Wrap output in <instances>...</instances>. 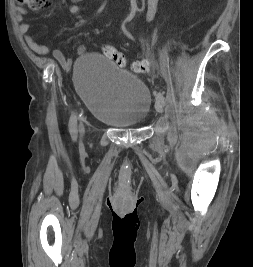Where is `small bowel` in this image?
Returning <instances> with one entry per match:
<instances>
[{
  "mask_svg": "<svg viewBox=\"0 0 253 267\" xmlns=\"http://www.w3.org/2000/svg\"><path fill=\"white\" fill-rule=\"evenodd\" d=\"M73 4L70 6L69 10L72 14H77L81 11L82 3L84 0H71ZM158 0H148L147 2V19L152 21L155 17L156 10H157ZM30 24L28 22H22L20 24V31L24 34L25 41L29 48L36 52L39 55H46L49 52V48L46 45L38 44L32 35L29 33L30 31ZM78 54H84L86 52V47L84 45H79L77 48ZM53 55L55 59L63 66H67L69 61L66 59L64 54L55 49L53 51Z\"/></svg>",
  "mask_w": 253,
  "mask_h": 267,
  "instance_id": "c3829d8e",
  "label": "small bowel"
}]
</instances>
